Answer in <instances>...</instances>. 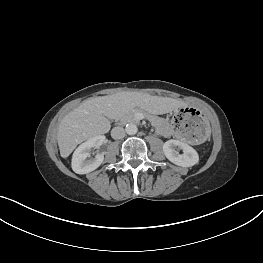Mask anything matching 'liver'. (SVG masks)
I'll return each instance as SVG.
<instances>
[{"mask_svg": "<svg viewBox=\"0 0 263 263\" xmlns=\"http://www.w3.org/2000/svg\"><path fill=\"white\" fill-rule=\"evenodd\" d=\"M183 105L181 100L129 91L87 99L69 112L58 127L60 155L67 158L78 144L106 134L111 128L109 119L121 118L135 107L165 114Z\"/></svg>", "mask_w": 263, "mask_h": 263, "instance_id": "obj_1", "label": "liver"}]
</instances>
